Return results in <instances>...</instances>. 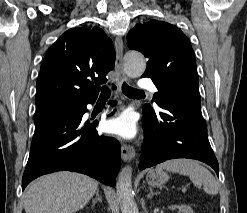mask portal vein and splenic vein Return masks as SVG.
Here are the masks:
<instances>
[{
    "instance_id": "obj_1",
    "label": "portal vein and splenic vein",
    "mask_w": 247,
    "mask_h": 213,
    "mask_svg": "<svg viewBox=\"0 0 247 213\" xmlns=\"http://www.w3.org/2000/svg\"><path fill=\"white\" fill-rule=\"evenodd\" d=\"M182 192H186V188H183V189H182Z\"/></svg>"
}]
</instances>
